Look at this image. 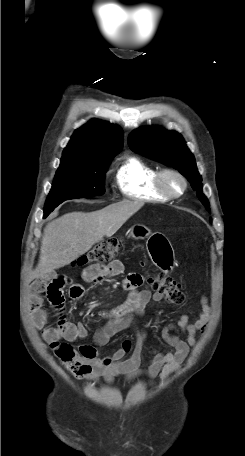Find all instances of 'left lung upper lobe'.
Wrapping results in <instances>:
<instances>
[{
  "mask_svg": "<svg viewBox=\"0 0 245 456\" xmlns=\"http://www.w3.org/2000/svg\"><path fill=\"white\" fill-rule=\"evenodd\" d=\"M128 145L139 154L177 169L187 178L200 201L210 210L208 200L202 193V179L195 158L179 133L152 127L137 129L129 135Z\"/></svg>",
  "mask_w": 245,
  "mask_h": 456,
  "instance_id": "obj_1",
  "label": "left lung upper lobe"
}]
</instances>
